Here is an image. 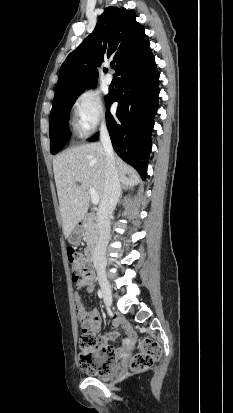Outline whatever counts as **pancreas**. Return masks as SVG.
<instances>
[{
	"mask_svg": "<svg viewBox=\"0 0 233 413\" xmlns=\"http://www.w3.org/2000/svg\"><path fill=\"white\" fill-rule=\"evenodd\" d=\"M84 232L87 238V244L93 245L98 238V225L92 216L85 218L83 222Z\"/></svg>",
	"mask_w": 233,
	"mask_h": 413,
	"instance_id": "pancreas-1",
	"label": "pancreas"
}]
</instances>
